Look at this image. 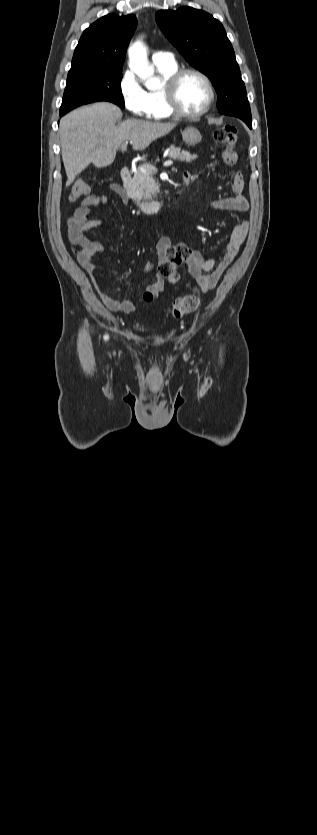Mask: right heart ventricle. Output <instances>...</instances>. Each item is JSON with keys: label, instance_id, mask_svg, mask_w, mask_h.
<instances>
[{"label": "right heart ventricle", "instance_id": "obj_1", "mask_svg": "<svg viewBox=\"0 0 317 835\" xmlns=\"http://www.w3.org/2000/svg\"><path fill=\"white\" fill-rule=\"evenodd\" d=\"M156 67L163 79L164 84L160 88L150 89L146 93L150 108V117L156 120H161L173 116L166 100L164 85L167 79L178 70V67L176 63L159 65Z\"/></svg>", "mask_w": 317, "mask_h": 835}]
</instances>
